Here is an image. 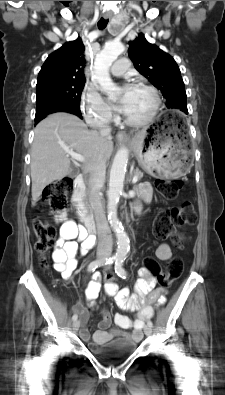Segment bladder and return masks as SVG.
<instances>
[{
  "label": "bladder",
  "instance_id": "31cf9c89",
  "mask_svg": "<svg viewBox=\"0 0 225 395\" xmlns=\"http://www.w3.org/2000/svg\"><path fill=\"white\" fill-rule=\"evenodd\" d=\"M137 342L128 338H117L103 345L90 346L92 354L101 361L111 362L125 358L136 351Z\"/></svg>",
  "mask_w": 225,
  "mask_h": 395
}]
</instances>
